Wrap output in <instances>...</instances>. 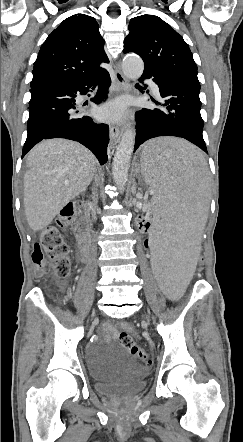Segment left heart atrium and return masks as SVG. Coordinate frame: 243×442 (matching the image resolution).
Here are the masks:
<instances>
[{"instance_id":"left-heart-atrium-1","label":"left heart atrium","mask_w":243,"mask_h":442,"mask_svg":"<svg viewBox=\"0 0 243 442\" xmlns=\"http://www.w3.org/2000/svg\"><path fill=\"white\" fill-rule=\"evenodd\" d=\"M127 113V104L124 100L118 99L103 105L98 115L105 120H120Z\"/></svg>"}]
</instances>
